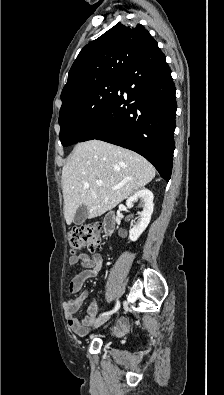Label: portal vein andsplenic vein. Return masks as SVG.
Here are the masks:
<instances>
[{
  "label": "portal vein and splenic vein",
  "instance_id": "obj_1",
  "mask_svg": "<svg viewBox=\"0 0 224 395\" xmlns=\"http://www.w3.org/2000/svg\"><path fill=\"white\" fill-rule=\"evenodd\" d=\"M96 184L98 186H102L103 182L102 181H96ZM120 188H121V186H114V187H112L113 190H117V189H120Z\"/></svg>",
  "mask_w": 224,
  "mask_h": 395
}]
</instances>
